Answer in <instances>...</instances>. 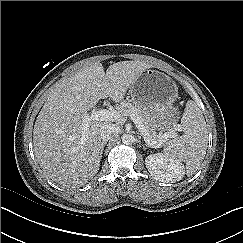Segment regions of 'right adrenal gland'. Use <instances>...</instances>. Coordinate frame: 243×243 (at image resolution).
Masks as SVG:
<instances>
[{
	"label": "right adrenal gland",
	"mask_w": 243,
	"mask_h": 243,
	"mask_svg": "<svg viewBox=\"0 0 243 243\" xmlns=\"http://www.w3.org/2000/svg\"><path fill=\"white\" fill-rule=\"evenodd\" d=\"M107 144V142H102L101 143V146H100V155L99 157L102 158V154H103V151H104V146Z\"/></svg>",
	"instance_id": "1"
}]
</instances>
